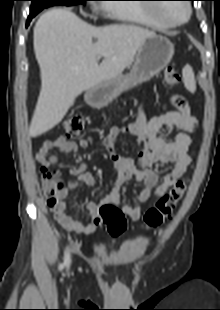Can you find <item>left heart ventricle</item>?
<instances>
[{
    "mask_svg": "<svg viewBox=\"0 0 220 310\" xmlns=\"http://www.w3.org/2000/svg\"><path fill=\"white\" fill-rule=\"evenodd\" d=\"M159 13L174 21H180L186 17L187 11L183 4H166L159 8Z\"/></svg>",
    "mask_w": 220,
    "mask_h": 310,
    "instance_id": "obj_1",
    "label": "left heart ventricle"
}]
</instances>
